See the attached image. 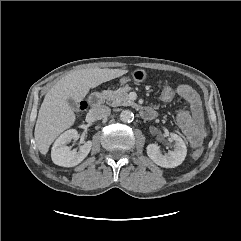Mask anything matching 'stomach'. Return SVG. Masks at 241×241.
Wrapping results in <instances>:
<instances>
[{"mask_svg":"<svg viewBox=\"0 0 241 241\" xmlns=\"http://www.w3.org/2000/svg\"><path fill=\"white\" fill-rule=\"evenodd\" d=\"M132 78L136 83H141L147 78V73L144 69H136L132 73ZM131 79L129 77H122L120 79L121 85L128 83Z\"/></svg>","mask_w":241,"mask_h":241,"instance_id":"0dacf381","label":"stomach"}]
</instances>
